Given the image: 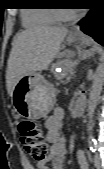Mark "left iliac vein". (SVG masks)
Here are the masks:
<instances>
[{"mask_svg": "<svg viewBox=\"0 0 104 169\" xmlns=\"http://www.w3.org/2000/svg\"><path fill=\"white\" fill-rule=\"evenodd\" d=\"M94 166L97 169H101V166H102L101 158L97 153L94 155Z\"/></svg>", "mask_w": 104, "mask_h": 169, "instance_id": "left-iliac-vein-1", "label": "left iliac vein"}]
</instances>
